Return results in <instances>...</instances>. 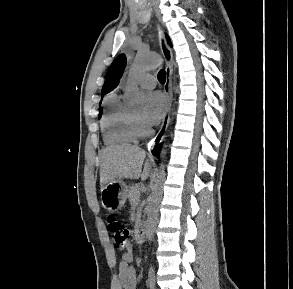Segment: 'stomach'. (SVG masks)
<instances>
[{"mask_svg": "<svg viewBox=\"0 0 293 289\" xmlns=\"http://www.w3.org/2000/svg\"><path fill=\"white\" fill-rule=\"evenodd\" d=\"M128 186L121 180H115L101 188L102 206L109 211L121 209L127 199Z\"/></svg>", "mask_w": 293, "mask_h": 289, "instance_id": "obj_1", "label": "stomach"}]
</instances>
